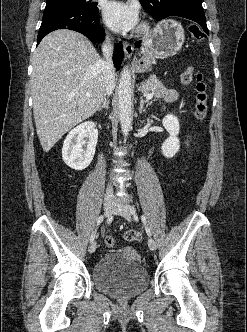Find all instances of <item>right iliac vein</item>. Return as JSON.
Masks as SVG:
<instances>
[{
	"label": "right iliac vein",
	"mask_w": 247,
	"mask_h": 332,
	"mask_svg": "<svg viewBox=\"0 0 247 332\" xmlns=\"http://www.w3.org/2000/svg\"><path fill=\"white\" fill-rule=\"evenodd\" d=\"M114 211V203L111 200H106L104 202V214L109 217ZM97 248V243L94 241L90 244L88 251L94 253Z\"/></svg>",
	"instance_id": "obj_1"
}]
</instances>
